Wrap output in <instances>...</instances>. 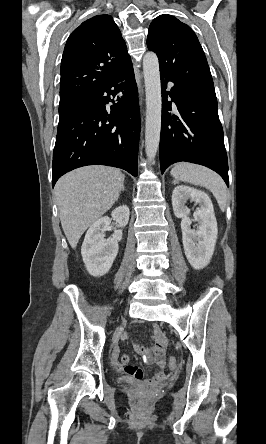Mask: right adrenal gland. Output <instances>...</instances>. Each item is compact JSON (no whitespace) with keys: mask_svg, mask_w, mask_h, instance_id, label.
<instances>
[{"mask_svg":"<svg viewBox=\"0 0 266 444\" xmlns=\"http://www.w3.org/2000/svg\"><path fill=\"white\" fill-rule=\"evenodd\" d=\"M124 190H125V188H124V186H122V191L124 192Z\"/></svg>","mask_w":266,"mask_h":444,"instance_id":"right-adrenal-gland-1","label":"right adrenal gland"}]
</instances>
